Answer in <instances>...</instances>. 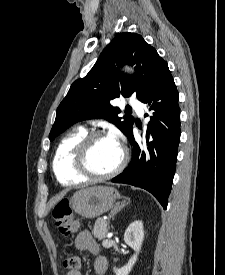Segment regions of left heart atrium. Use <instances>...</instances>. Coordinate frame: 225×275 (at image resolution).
Instances as JSON below:
<instances>
[{
	"mask_svg": "<svg viewBox=\"0 0 225 275\" xmlns=\"http://www.w3.org/2000/svg\"><path fill=\"white\" fill-rule=\"evenodd\" d=\"M108 138L119 144V135L116 131H111Z\"/></svg>",
	"mask_w": 225,
	"mask_h": 275,
	"instance_id": "1",
	"label": "left heart atrium"
}]
</instances>
